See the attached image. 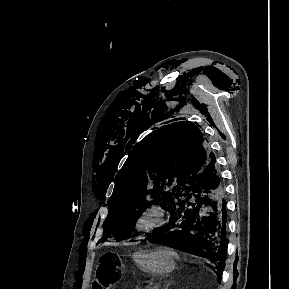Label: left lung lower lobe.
I'll return each mask as SVG.
<instances>
[{
	"instance_id": "obj_1",
	"label": "left lung lower lobe",
	"mask_w": 289,
	"mask_h": 289,
	"mask_svg": "<svg viewBox=\"0 0 289 289\" xmlns=\"http://www.w3.org/2000/svg\"><path fill=\"white\" fill-rule=\"evenodd\" d=\"M168 224L147 238L151 243L208 258L221 279L226 258V200L222 178L213 156L205 169L170 207ZM171 239V240H169Z\"/></svg>"
}]
</instances>
